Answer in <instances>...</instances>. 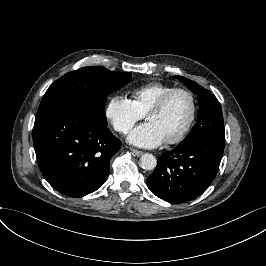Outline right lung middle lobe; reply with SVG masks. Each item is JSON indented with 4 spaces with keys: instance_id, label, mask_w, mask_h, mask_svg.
Here are the masks:
<instances>
[{
    "instance_id": "1",
    "label": "right lung middle lobe",
    "mask_w": 266,
    "mask_h": 266,
    "mask_svg": "<svg viewBox=\"0 0 266 266\" xmlns=\"http://www.w3.org/2000/svg\"><path fill=\"white\" fill-rule=\"evenodd\" d=\"M131 75L99 66L84 67L69 72L48 88L37 115L55 106L69 105L89 112L96 122L107 126L106 98L130 82Z\"/></svg>"
}]
</instances>
